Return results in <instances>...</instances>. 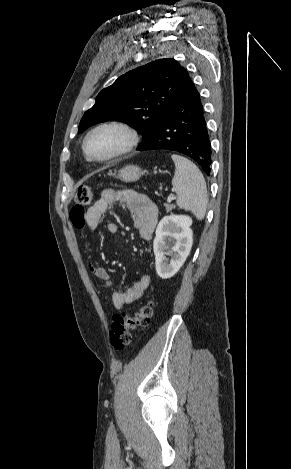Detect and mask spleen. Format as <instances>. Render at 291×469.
<instances>
[{
    "mask_svg": "<svg viewBox=\"0 0 291 469\" xmlns=\"http://www.w3.org/2000/svg\"><path fill=\"white\" fill-rule=\"evenodd\" d=\"M175 174L172 179L179 208L190 211L202 220L208 204L206 182L199 168L189 159L173 154Z\"/></svg>",
    "mask_w": 291,
    "mask_h": 469,
    "instance_id": "spleen-1",
    "label": "spleen"
}]
</instances>
